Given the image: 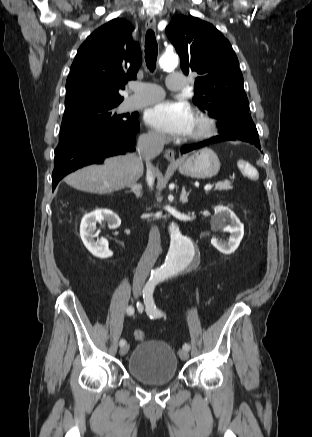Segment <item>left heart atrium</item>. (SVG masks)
I'll use <instances>...</instances> for the list:
<instances>
[{
    "mask_svg": "<svg viewBox=\"0 0 312 437\" xmlns=\"http://www.w3.org/2000/svg\"><path fill=\"white\" fill-rule=\"evenodd\" d=\"M145 121L162 133L182 137L191 134L195 119L187 104L164 101L147 111Z\"/></svg>",
    "mask_w": 312,
    "mask_h": 437,
    "instance_id": "1",
    "label": "left heart atrium"
}]
</instances>
